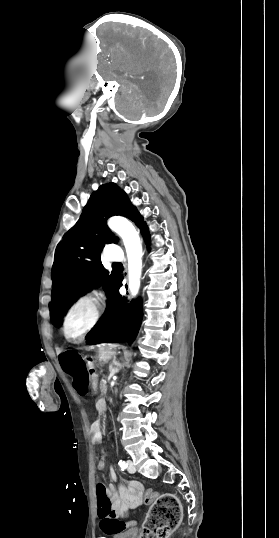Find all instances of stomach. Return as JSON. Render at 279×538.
Returning a JSON list of instances; mask_svg holds the SVG:
<instances>
[{"label":"stomach","mask_w":279,"mask_h":538,"mask_svg":"<svg viewBox=\"0 0 279 538\" xmlns=\"http://www.w3.org/2000/svg\"><path fill=\"white\" fill-rule=\"evenodd\" d=\"M112 356H113V352H109V355H104L103 356V361L104 362H109L111 360Z\"/></svg>","instance_id":"1"}]
</instances>
